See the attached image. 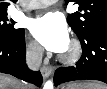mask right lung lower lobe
Returning <instances> with one entry per match:
<instances>
[{"label":"right lung lower lobe","mask_w":107,"mask_h":89,"mask_svg":"<svg viewBox=\"0 0 107 89\" xmlns=\"http://www.w3.org/2000/svg\"><path fill=\"white\" fill-rule=\"evenodd\" d=\"M23 32L18 38L7 41L0 38V72L11 74L24 81L40 86L43 78L40 72L28 69L25 64V39Z\"/></svg>","instance_id":"1"}]
</instances>
